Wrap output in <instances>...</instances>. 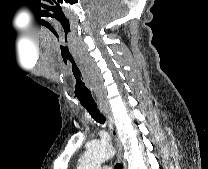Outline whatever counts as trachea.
<instances>
[{
    "mask_svg": "<svg viewBox=\"0 0 208 169\" xmlns=\"http://www.w3.org/2000/svg\"><path fill=\"white\" fill-rule=\"evenodd\" d=\"M84 108L89 112L91 117L98 123L104 124L106 121V118L104 115L100 112V110L97 108L96 105L92 106H84ZM123 165L120 163H117L115 165V169H122Z\"/></svg>",
    "mask_w": 208,
    "mask_h": 169,
    "instance_id": "3493384b",
    "label": "trachea"
}]
</instances>
